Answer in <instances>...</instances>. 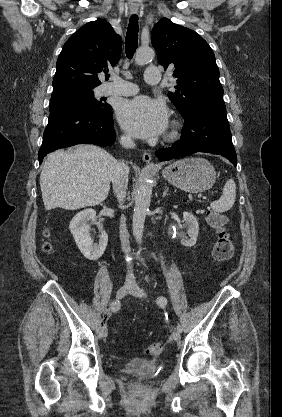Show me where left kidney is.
Returning a JSON list of instances; mask_svg holds the SVG:
<instances>
[{
    "label": "left kidney",
    "mask_w": 282,
    "mask_h": 417,
    "mask_svg": "<svg viewBox=\"0 0 282 417\" xmlns=\"http://www.w3.org/2000/svg\"><path fill=\"white\" fill-rule=\"evenodd\" d=\"M183 223L188 229L190 239H181V245H184V247H194L199 233L198 221L192 213H186L185 211L183 213Z\"/></svg>",
    "instance_id": "left-kidney-1"
}]
</instances>
